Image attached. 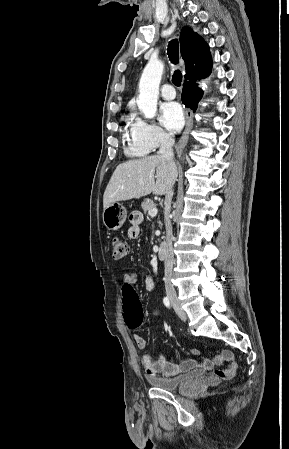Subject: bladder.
<instances>
[{
  "label": "bladder",
  "mask_w": 289,
  "mask_h": 449,
  "mask_svg": "<svg viewBox=\"0 0 289 449\" xmlns=\"http://www.w3.org/2000/svg\"><path fill=\"white\" fill-rule=\"evenodd\" d=\"M205 377L204 370H193L175 377L151 376L149 383L159 389L166 391H177L182 387L197 382Z\"/></svg>",
  "instance_id": "bladder-1"
}]
</instances>
